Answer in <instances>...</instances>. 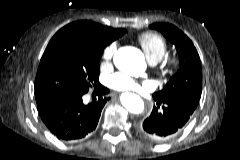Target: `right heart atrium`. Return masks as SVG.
Masks as SVG:
<instances>
[{"label": "right heart atrium", "mask_w": 240, "mask_h": 160, "mask_svg": "<svg viewBox=\"0 0 240 160\" xmlns=\"http://www.w3.org/2000/svg\"><path fill=\"white\" fill-rule=\"evenodd\" d=\"M117 44L115 42L106 46L102 52V59L104 62H110L116 52Z\"/></svg>", "instance_id": "obj_1"}]
</instances>
